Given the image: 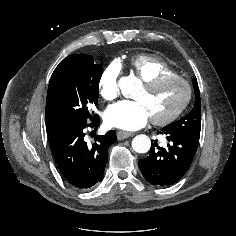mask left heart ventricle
Wrapping results in <instances>:
<instances>
[{
  "label": "left heart ventricle",
  "mask_w": 236,
  "mask_h": 236,
  "mask_svg": "<svg viewBox=\"0 0 236 236\" xmlns=\"http://www.w3.org/2000/svg\"><path fill=\"white\" fill-rule=\"evenodd\" d=\"M186 87L180 81H168L153 90L143 87L135 95L142 101L151 118L164 117L174 111L185 99Z\"/></svg>",
  "instance_id": "obj_1"
}]
</instances>
